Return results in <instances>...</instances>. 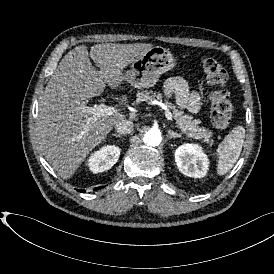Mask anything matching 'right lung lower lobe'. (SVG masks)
Returning <instances> with one entry per match:
<instances>
[{"label":"right lung lower lobe","mask_w":274,"mask_h":274,"mask_svg":"<svg viewBox=\"0 0 274 274\" xmlns=\"http://www.w3.org/2000/svg\"><path fill=\"white\" fill-rule=\"evenodd\" d=\"M80 192H85L84 190H79Z\"/></svg>","instance_id":"obj_1"}]
</instances>
